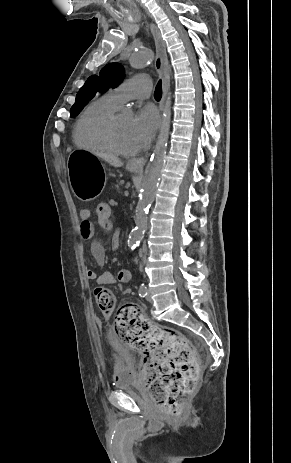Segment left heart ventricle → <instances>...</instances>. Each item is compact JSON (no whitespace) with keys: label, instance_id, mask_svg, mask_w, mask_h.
Returning <instances> with one entry per match:
<instances>
[{"label":"left heart ventricle","instance_id":"b2bd125f","mask_svg":"<svg viewBox=\"0 0 291 463\" xmlns=\"http://www.w3.org/2000/svg\"><path fill=\"white\" fill-rule=\"evenodd\" d=\"M114 142L123 150L133 151L139 148L132 131V118L120 114L113 128Z\"/></svg>","mask_w":291,"mask_h":463}]
</instances>
